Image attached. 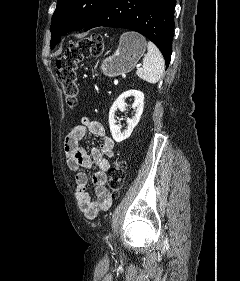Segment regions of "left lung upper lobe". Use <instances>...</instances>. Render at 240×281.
Listing matches in <instances>:
<instances>
[{
	"label": "left lung upper lobe",
	"mask_w": 240,
	"mask_h": 281,
	"mask_svg": "<svg viewBox=\"0 0 240 281\" xmlns=\"http://www.w3.org/2000/svg\"><path fill=\"white\" fill-rule=\"evenodd\" d=\"M106 0H57L51 24V49L60 42L61 35L83 29L97 14Z\"/></svg>",
	"instance_id": "5c2ea615"
}]
</instances>
